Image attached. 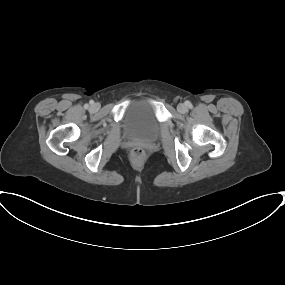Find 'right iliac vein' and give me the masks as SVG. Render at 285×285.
Returning <instances> with one entry per match:
<instances>
[{
    "label": "right iliac vein",
    "instance_id": "63e3f726",
    "mask_svg": "<svg viewBox=\"0 0 285 285\" xmlns=\"http://www.w3.org/2000/svg\"><path fill=\"white\" fill-rule=\"evenodd\" d=\"M93 110H95L96 109V105H92V107H91Z\"/></svg>",
    "mask_w": 285,
    "mask_h": 285
}]
</instances>
